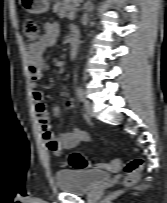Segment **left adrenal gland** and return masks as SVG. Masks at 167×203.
<instances>
[{"label": "left adrenal gland", "mask_w": 167, "mask_h": 203, "mask_svg": "<svg viewBox=\"0 0 167 203\" xmlns=\"http://www.w3.org/2000/svg\"><path fill=\"white\" fill-rule=\"evenodd\" d=\"M91 5H92L91 2L88 1V2L85 4L84 9H86V10L90 9Z\"/></svg>", "instance_id": "a2214340"}]
</instances>
